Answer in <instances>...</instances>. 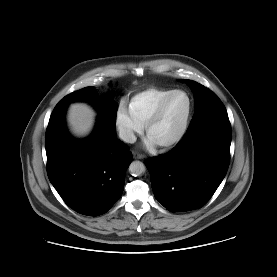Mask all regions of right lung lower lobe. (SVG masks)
<instances>
[{
	"mask_svg": "<svg viewBox=\"0 0 277 277\" xmlns=\"http://www.w3.org/2000/svg\"><path fill=\"white\" fill-rule=\"evenodd\" d=\"M67 107H55L46 131L47 174L64 202L76 212L99 216L120 198L132 154L115 126L97 119L93 133L74 140L65 126Z\"/></svg>",
	"mask_w": 277,
	"mask_h": 277,
	"instance_id": "98d812e1",
	"label": "right lung lower lobe"
}]
</instances>
